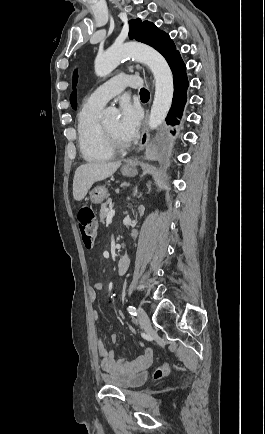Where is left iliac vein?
I'll return each instance as SVG.
<instances>
[{
  "label": "left iliac vein",
  "mask_w": 265,
  "mask_h": 434,
  "mask_svg": "<svg viewBox=\"0 0 265 434\" xmlns=\"http://www.w3.org/2000/svg\"><path fill=\"white\" fill-rule=\"evenodd\" d=\"M137 319H138L139 324L142 325L144 328L150 327V319H149L146 311L141 307L138 308Z\"/></svg>",
  "instance_id": "1"
}]
</instances>
